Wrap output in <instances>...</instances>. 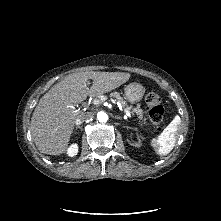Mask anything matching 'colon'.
Masks as SVG:
<instances>
[{
    "instance_id": "colon-1",
    "label": "colon",
    "mask_w": 221,
    "mask_h": 221,
    "mask_svg": "<svg viewBox=\"0 0 221 221\" xmlns=\"http://www.w3.org/2000/svg\"><path fill=\"white\" fill-rule=\"evenodd\" d=\"M145 105L152 125L156 129H160L164 116L163 102L160 95L156 92L148 93L145 98Z\"/></svg>"
}]
</instances>
